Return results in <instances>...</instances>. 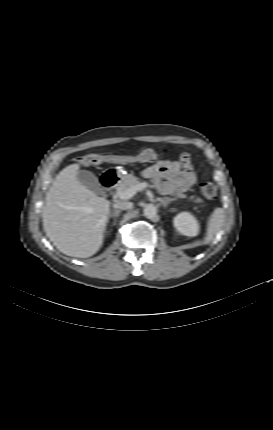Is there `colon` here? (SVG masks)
I'll return each mask as SVG.
<instances>
[{
  "label": "colon",
  "mask_w": 273,
  "mask_h": 430,
  "mask_svg": "<svg viewBox=\"0 0 273 430\" xmlns=\"http://www.w3.org/2000/svg\"><path fill=\"white\" fill-rule=\"evenodd\" d=\"M157 158V153L152 149H145L134 155H104L87 154L79 159L85 166L101 165L105 163H138L151 162ZM201 193L207 199H214L217 195V187L212 182H204L200 186Z\"/></svg>",
  "instance_id": "5ec220e1"
}]
</instances>
